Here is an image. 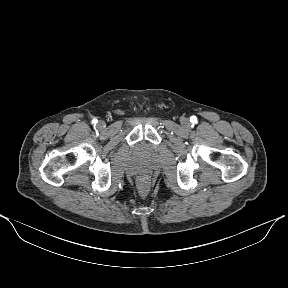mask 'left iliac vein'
<instances>
[{
	"label": "left iliac vein",
	"mask_w": 288,
	"mask_h": 288,
	"mask_svg": "<svg viewBox=\"0 0 288 288\" xmlns=\"http://www.w3.org/2000/svg\"><path fill=\"white\" fill-rule=\"evenodd\" d=\"M183 125H184L185 127H187V126L189 125V122H188L187 119H185V120L183 121Z\"/></svg>",
	"instance_id": "1"
}]
</instances>
